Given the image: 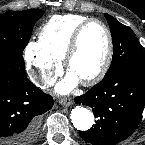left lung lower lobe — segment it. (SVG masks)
I'll list each match as a JSON object with an SVG mask.
<instances>
[{
    "mask_svg": "<svg viewBox=\"0 0 145 145\" xmlns=\"http://www.w3.org/2000/svg\"><path fill=\"white\" fill-rule=\"evenodd\" d=\"M75 102L91 107L97 118L89 130L80 131L82 139L94 145H114L139 124L145 105V72L124 69L104 77Z\"/></svg>",
    "mask_w": 145,
    "mask_h": 145,
    "instance_id": "0a47b994",
    "label": "left lung lower lobe"
}]
</instances>
